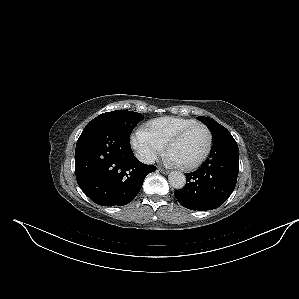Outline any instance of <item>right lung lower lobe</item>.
<instances>
[{
    "mask_svg": "<svg viewBox=\"0 0 299 299\" xmlns=\"http://www.w3.org/2000/svg\"><path fill=\"white\" fill-rule=\"evenodd\" d=\"M130 138L101 124H88L75 150V173L79 187L96 204L123 206L139 193L155 166L133 156Z\"/></svg>",
    "mask_w": 299,
    "mask_h": 299,
    "instance_id": "1",
    "label": "right lung lower lobe"
}]
</instances>
